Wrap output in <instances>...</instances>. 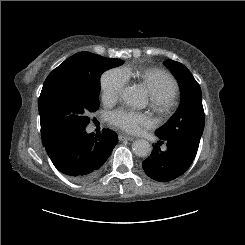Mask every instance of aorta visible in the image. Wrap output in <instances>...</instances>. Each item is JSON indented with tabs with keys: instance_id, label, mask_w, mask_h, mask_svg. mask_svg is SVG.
<instances>
[{
	"instance_id": "762f6f07",
	"label": "aorta",
	"mask_w": 245,
	"mask_h": 245,
	"mask_svg": "<svg viewBox=\"0 0 245 245\" xmlns=\"http://www.w3.org/2000/svg\"><path fill=\"white\" fill-rule=\"evenodd\" d=\"M122 99L127 105L135 108H143L146 104L143 91L137 87H126L122 92ZM132 149L139 157H147L152 151L151 145L144 139L134 141Z\"/></svg>"
}]
</instances>
